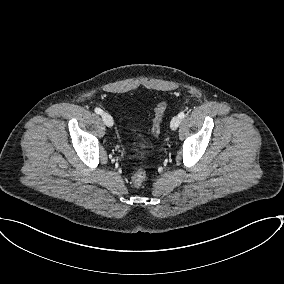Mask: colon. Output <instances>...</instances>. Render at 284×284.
Wrapping results in <instances>:
<instances>
[{
	"instance_id": "colon-1",
	"label": "colon",
	"mask_w": 284,
	"mask_h": 284,
	"mask_svg": "<svg viewBox=\"0 0 284 284\" xmlns=\"http://www.w3.org/2000/svg\"><path fill=\"white\" fill-rule=\"evenodd\" d=\"M166 106L167 104L165 101H160L155 108V116L153 119L152 127L148 131V133L153 137L158 136L160 133V127L166 110ZM146 177H147L146 170L139 169L133 174L131 178L132 184L134 186H140L144 183Z\"/></svg>"
}]
</instances>
